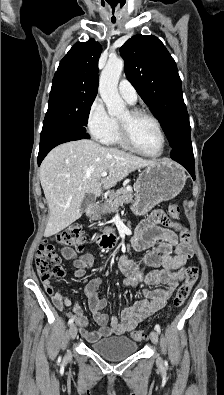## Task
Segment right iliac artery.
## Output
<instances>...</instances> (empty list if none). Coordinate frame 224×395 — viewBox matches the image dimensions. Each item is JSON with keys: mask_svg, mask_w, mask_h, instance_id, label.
Returning a JSON list of instances; mask_svg holds the SVG:
<instances>
[{"mask_svg": "<svg viewBox=\"0 0 224 395\" xmlns=\"http://www.w3.org/2000/svg\"><path fill=\"white\" fill-rule=\"evenodd\" d=\"M73 322H74V319H73V318L69 319L68 325H71Z\"/></svg>", "mask_w": 224, "mask_h": 395, "instance_id": "82829eb1", "label": "right iliac artery"}]
</instances>
